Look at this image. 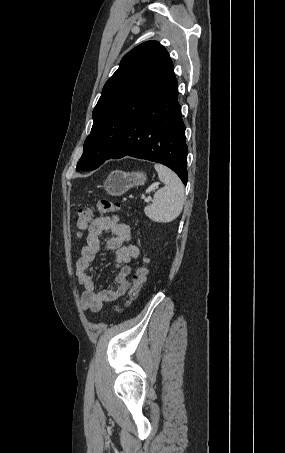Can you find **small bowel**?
Masks as SVG:
<instances>
[{"label": "small bowel", "mask_w": 285, "mask_h": 453, "mask_svg": "<svg viewBox=\"0 0 285 453\" xmlns=\"http://www.w3.org/2000/svg\"><path fill=\"white\" fill-rule=\"evenodd\" d=\"M105 232L112 234L107 241V248L115 252V265L119 268V273L112 285L99 291L94 280L92 262L101 251L100 236ZM132 240L131 226L117 217L101 216L91 221L86 245L76 263L78 282L84 287L80 301L83 309L99 311L103 305L114 301L129 288L131 261L140 254L139 248Z\"/></svg>", "instance_id": "small-bowel-1"}]
</instances>
